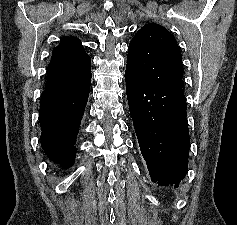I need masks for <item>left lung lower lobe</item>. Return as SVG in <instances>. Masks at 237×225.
Here are the masks:
<instances>
[{
    "instance_id": "1",
    "label": "left lung lower lobe",
    "mask_w": 237,
    "mask_h": 225,
    "mask_svg": "<svg viewBox=\"0 0 237 225\" xmlns=\"http://www.w3.org/2000/svg\"><path fill=\"white\" fill-rule=\"evenodd\" d=\"M130 114L151 180L178 187L188 170L190 138L183 89L156 88L125 71Z\"/></svg>"
}]
</instances>
